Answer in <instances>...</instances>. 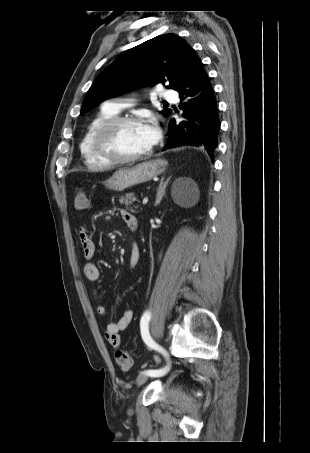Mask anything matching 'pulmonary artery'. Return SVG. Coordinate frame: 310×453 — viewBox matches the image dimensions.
I'll return each instance as SVG.
<instances>
[{
    "instance_id": "e3ab8cb5",
    "label": "pulmonary artery",
    "mask_w": 310,
    "mask_h": 453,
    "mask_svg": "<svg viewBox=\"0 0 310 453\" xmlns=\"http://www.w3.org/2000/svg\"><path fill=\"white\" fill-rule=\"evenodd\" d=\"M163 99L167 101H176L177 100V94L175 91L172 90H163L161 93ZM126 106L125 103L117 102V101H111L107 102L105 104V107L118 113L120 112L124 107Z\"/></svg>"
}]
</instances>
